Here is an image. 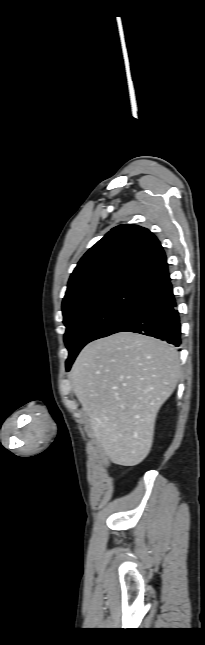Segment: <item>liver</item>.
Wrapping results in <instances>:
<instances>
[{"instance_id":"obj_1","label":"liver","mask_w":205,"mask_h":645,"mask_svg":"<svg viewBox=\"0 0 205 645\" xmlns=\"http://www.w3.org/2000/svg\"><path fill=\"white\" fill-rule=\"evenodd\" d=\"M70 376L96 444L115 464L141 463L152 446L158 411L180 378L176 348L120 332L87 344Z\"/></svg>"}]
</instances>
